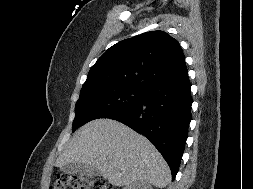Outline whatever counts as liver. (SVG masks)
Instances as JSON below:
<instances>
[{
	"mask_svg": "<svg viewBox=\"0 0 253 189\" xmlns=\"http://www.w3.org/2000/svg\"><path fill=\"white\" fill-rule=\"evenodd\" d=\"M85 163L96 167L113 186L136 181L165 188L170 169L144 136L111 119H96L79 128L56 161L57 167Z\"/></svg>",
	"mask_w": 253,
	"mask_h": 189,
	"instance_id": "1",
	"label": "liver"
}]
</instances>
